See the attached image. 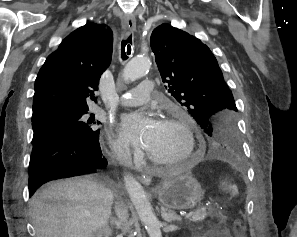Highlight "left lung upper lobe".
I'll list each match as a JSON object with an SVG mask.
<instances>
[{"label":"left lung upper lobe","mask_w":297,"mask_h":237,"mask_svg":"<svg viewBox=\"0 0 297 237\" xmlns=\"http://www.w3.org/2000/svg\"><path fill=\"white\" fill-rule=\"evenodd\" d=\"M150 45L168 92L210 136L208 148L224 157L239 155L237 108L210 49L169 24L153 30Z\"/></svg>","instance_id":"left-lung-upper-lobe-1"}]
</instances>
